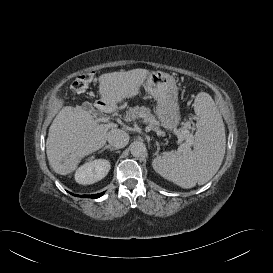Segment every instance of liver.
Here are the masks:
<instances>
[{
	"label": "liver",
	"instance_id": "6515ba94",
	"mask_svg": "<svg viewBox=\"0 0 273 273\" xmlns=\"http://www.w3.org/2000/svg\"><path fill=\"white\" fill-rule=\"evenodd\" d=\"M146 69L103 74L99 78L101 102L114 107L139 93ZM115 124H99L82 106H65L54 118L48 132L46 153L50 167L60 175L72 173L81 159L102 148Z\"/></svg>",
	"mask_w": 273,
	"mask_h": 273
}]
</instances>
